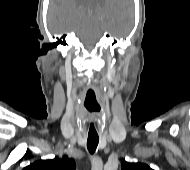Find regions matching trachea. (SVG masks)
<instances>
[{
	"label": "trachea",
	"mask_w": 190,
	"mask_h": 170,
	"mask_svg": "<svg viewBox=\"0 0 190 170\" xmlns=\"http://www.w3.org/2000/svg\"><path fill=\"white\" fill-rule=\"evenodd\" d=\"M99 137L94 135H89L87 139V149L88 151L93 154L98 146Z\"/></svg>",
	"instance_id": "3493384b"
}]
</instances>
